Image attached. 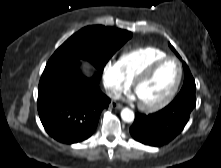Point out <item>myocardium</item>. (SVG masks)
I'll list each match as a JSON object with an SVG mask.
<instances>
[{
  "label": "myocardium",
  "instance_id": "obj_1",
  "mask_svg": "<svg viewBox=\"0 0 221 168\" xmlns=\"http://www.w3.org/2000/svg\"><path fill=\"white\" fill-rule=\"evenodd\" d=\"M168 61H174L178 65V77L177 80L173 86V88L170 90V92L160 101L153 103V104H143L139 102V107L146 112H154L159 109H162L166 105H168L173 98L175 97L176 93L179 90V87L182 82L183 78V66L181 61L173 56H166L161 59H158L154 62H152L150 65H148L143 71H141L132 81V88L135 92L136 88L138 87L139 84L147 80L153 73L154 71L163 63L168 62Z\"/></svg>",
  "mask_w": 221,
  "mask_h": 168
}]
</instances>
